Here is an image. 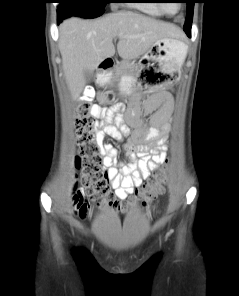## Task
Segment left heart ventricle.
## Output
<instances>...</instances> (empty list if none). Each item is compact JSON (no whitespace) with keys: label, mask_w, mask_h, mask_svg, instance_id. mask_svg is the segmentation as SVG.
I'll use <instances>...</instances> for the list:
<instances>
[{"label":"left heart ventricle","mask_w":239,"mask_h":296,"mask_svg":"<svg viewBox=\"0 0 239 296\" xmlns=\"http://www.w3.org/2000/svg\"><path fill=\"white\" fill-rule=\"evenodd\" d=\"M164 4L166 8L172 13H174L178 8V3H164Z\"/></svg>","instance_id":"obj_1"}]
</instances>
